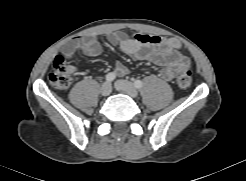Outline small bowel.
<instances>
[{"mask_svg": "<svg viewBox=\"0 0 246 181\" xmlns=\"http://www.w3.org/2000/svg\"><path fill=\"white\" fill-rule=\"evenodd\" d=\"M145 36L148 35L127 37L122 33H112L108 35V41L136 59L160 66V77L166 81L173 80L180 68L189 67V59L180 52L181 43L178 39L162 40L155 36L156 42H145L142 40ZM77 51L87 57H96L102 53V46L95 37L85 36L75 39L72 45L65 48L63 55L66 59H71ZM114 72L124 75L128 69L122 62L117 61Z\"/></svg>", "mask_w": 246, "mask_h": 181, "instance_id": "1", "label": "small bowel"}]
</instances>
